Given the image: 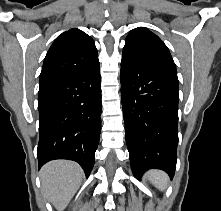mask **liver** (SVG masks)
Returning a JSON list of instances; mask_svg holds the SVG:
<instances>
[{"label": "liver", "mask_w": 221, "mask_h": 211, "mask_svg": "<svg viewBox=\"0 0 221 211\" xmlns=\"http://www.w3.org/2000/svg\"><path fill=\"white\" fill-rule=\"evenodd\" d=\"M83 170L75 162L54 160L45 164L40 171L44 196L58 211H63L79 189Z\"/></svg>", "instance_id": "1"}]
</instances>
